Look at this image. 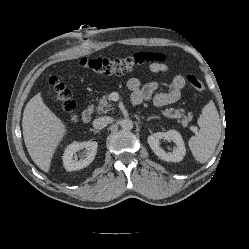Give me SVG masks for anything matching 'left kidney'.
I'll list each match as a JSON object with an SVG mask.
<instances>
[{
  "mask_svg": "<svg viewBox=\"0 0 249 249\" xmlns=\"http://www.w3.org/2000/svg\"><path fill=\"white\" fill-rule=\"evenodd\" d=\"M161 139L174 142L177 147L176 150L172 153H166L164 149L159 146ZM148 144L160 159L167 162H180L186 154L183 138L176 130L154 133L148 137Z\"/></svg>",
  "mask_w": 249,
  "mask_h": 249,
  "instance_id": "1",
  "label": "left kidney"
}]
</instances>
